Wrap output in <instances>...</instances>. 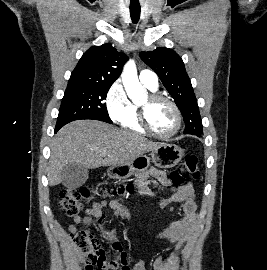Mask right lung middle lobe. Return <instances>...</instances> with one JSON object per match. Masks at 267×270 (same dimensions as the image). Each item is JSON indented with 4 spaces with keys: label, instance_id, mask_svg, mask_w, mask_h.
<instances>
[{
    "label": "right lung middle lobe",
    "instance_id": "dd1d6c3e",
    "mask_svg": "<svg viewBox=\"0 0 267 270\" xmlns=\"http://www.w3.org/2000/svg\"><path fill=\"white\" fill-rule=\"evenodd\" d=\"M111 84L68 83L62 99L56 126L80 119H94L112 123L106 108L107 92Z\"/></svg>",
    "mask_w": 267,
    "mask_h": 270
}]
</instances>
